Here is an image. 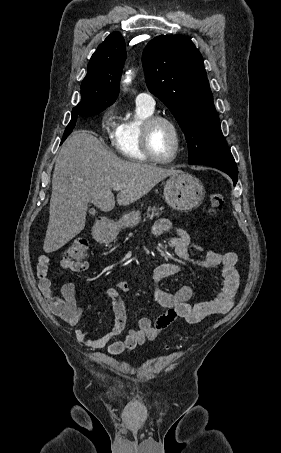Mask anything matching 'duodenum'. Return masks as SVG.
<instances>
[{
    "instance_id": "obj_1",
    "label": "duodenum",
    "mask_w": 281,
    "mask_h": 453,
    "mask_svg": "<svg viewBox=\"0 0 281 453\" xmlns=\"http://www.w3.org/2000/svg\"><path fill=\"white\" fill-rule=\"evenodd\" d=\"M97 233H98L99 235H104V233H105V227H104L103 224H101V225L97 228Z\"/></svg>"
}]
</instances>
